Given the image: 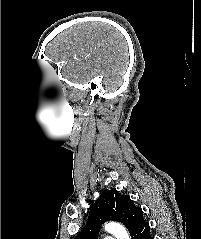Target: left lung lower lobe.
Returning a JSON list of instances; mask_svg holds the SVG:
<instances>
[{"instance_id": "left-lung-lower-lobe-1", "label": "left lung lower lobe", "mask_w": 201, "mask_h": 239, "mask_svg": "<svg viewBox=\"0 0 201 239\" xmlns=\"http://www.w3.org/2000/svg\"><path fill=\"white\" fill-rule=\"evenodd\" d=\"M130 235L131 239H153L150 235L149 223L147 222L136 227Z\"/></svg>"}]
</instances>
